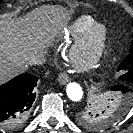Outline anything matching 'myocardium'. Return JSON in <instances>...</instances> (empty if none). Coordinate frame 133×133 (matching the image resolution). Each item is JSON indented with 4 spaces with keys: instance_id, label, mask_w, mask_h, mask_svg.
Instances as JSON below:
<instances>
[{
    "instance_id": "f54148a6",
    "label": "myocardium",
    "mask_w": 133,
    "mask_h": 133,
    "mask_svg": "<svg viewBox=\"0 0 133 133\" xmlns=\"http://www.w3.org/2000/svg\"><path fill=\"white\" fill-rule=\"evenodd\" d=\"M108 42V29L94 22L77 39L68 52L70 67L79 73L92 71L104 55Z\"/></svg>"
}]
</instances>
